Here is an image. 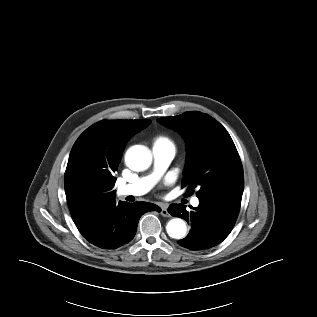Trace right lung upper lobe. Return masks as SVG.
<instances>
[{
  "instance_id": "right-lung-upper-lobe-1",
  "label": "right lung upper lobe",
  "mask_w": 317,
  "mask_h": 317,
  "mask_svg": "<svg viewBox=\"0 0 317 317\" xmlns=\"http://www.w3.org/2000/svg\"><path fill=\"white\" fill-rule=\"evenodd\" d=\"M150 120L100 121L87 128L76 140L65 171V189L78 175L92 177L106 186L114 198L118 165L128 140L150 124Z\"/></svg>"
}]
</instances>
